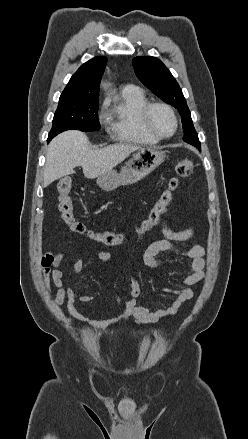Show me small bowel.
<instances>
[{"label": "small bowel", "mask_w": 248, "mask_h": 439, "mask_svg": "<svg viewBox=\"0 0 248 439\" xmlns=\"http://www.w3.org/2000/svg\"><path fill=\"white\" fill-rule=\"evenodd\" d=\"M160 231L162 238L151 242L143 253V262L149 268H156L160 265L157 256L160 253H169L175 256L186 258L189 260L185 267L188 274L184 277L176 279L181 284L179 288H162L166 294L174 297L173 303L164 309L151 310L147 307L138 305V299L141 295V286L136 278L132 279L129 291V299L125 304L124 311L115 318L106 320H92L84 316L78 309L77 303H91L94 297L82 294L73 288L64 286V272L60 269V264L65 258L64 252L52 253L48 252L42 255L40 264L42 268V277L44 286L50 290L54 286L57 291L54 302L57 306L66 305L70 319H76L87 323L93 328L104 330L119 322L129 321L132 318L136 324H150L159 321L162 318L175 315L180 308L194 296L191 288L199 284L204 278L206 266V251L200 245L192 246L188 249H181L177 243H186L192 240L195 235V229L188 227L179 231H174L167 223L166 217L160 223ZM97 257L103 263L108 265L111 261V255L105 251H99ZM83 269V260L79 256L74 257L71 272L79 274ZM117 303L120 305L122 300L119 295L116 297Z\"/></svg>", "instance_id": "1"}]
</instances>
